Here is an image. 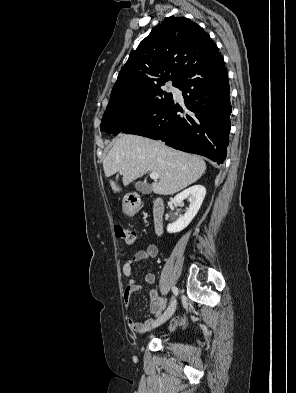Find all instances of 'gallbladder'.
Segmentation results:
<instances>
[{
  "label": "gallbladder",
  "instance_id": "gallbladder-1",
  "mask_svg": "<svg viewBox=\"0 0 296 393\" xmlns=\"http://www.w3.org/2000/svg\"><path fill=\"white\" fill-rule=\"evenodd\" d=\"M135 188H136L139 192H141V193H143V194H149V193H151V186H150L149 184H147V183H144V182H136V183H135Z\"/></svg>",
  "mask_w": 296,
  "mask_h": 393
}]
</instances>
